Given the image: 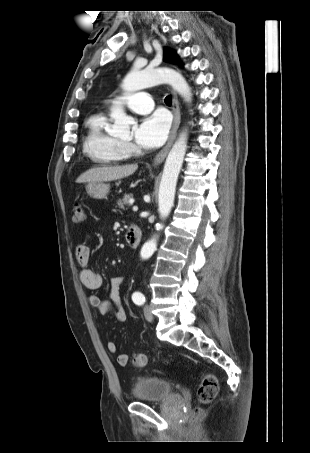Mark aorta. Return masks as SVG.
<instances>
[{"label":"aorta","mask_w":310,"mask_h":453,"mask_svg":"<svg viewBox=\"0 0 310 453\" xmlns=\"http://www.w3.org/2000/svg\"><path fill=\"white\" fill-rule=\"evenodd\" d=\"M160 83H168L186 101L192 99L191 89L185 78L171 68H156L139 70L133 68L124 78L122 88L124 91L133 92L148 88ZM111 117L114 124L111 132L114 135H125L130 132L133 119L128 116L124 109L117 105L112 109ZM187 149V133L182 132L172 146L164 165L163 174L159 186V214L161 219L169 216L174 204L176 184L183 164ZM160 228L163 226L160 225ZM156 238L146 242L140 252L143 259L150 258L156 250Z\"/></svg>","instance_id":"1"}]
</instances>
